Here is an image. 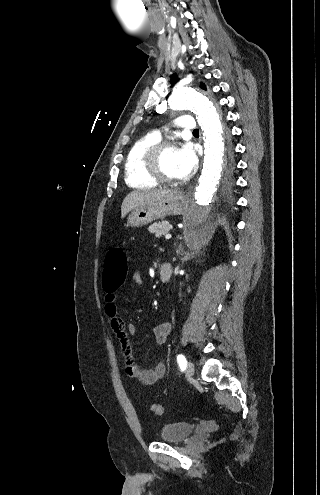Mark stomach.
I'll use <instances>...</instances> for the list:
<instances>
[{"label":"stomach","mask_w":320,"mask_h":495,"mask_svg":"<svg viewBox=\"0 0 320 495\" xmlns=\"http://www.w3.org/2000/svg\"><path fill=\"white\" fill-rule=\"evenodd\" d=\"M186 209V195L180 190H174L157 201L134 209L127 219V224L131 227H143L169 215H180Z\"/></svg>","instance_id":"stomach-1"}]
</instances>
